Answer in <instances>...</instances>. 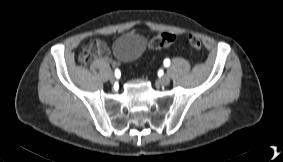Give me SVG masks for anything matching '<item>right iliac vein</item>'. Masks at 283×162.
Listing matches in <instances>:
<instances>
[{
  "label": "right iliac vein",
  "instance_id": "obj_1",
  "mask_svg": "<svg viewBox=\"0 0 283 162\" xmlns=\"http://www.w3.org/2000/svg\"><path fill=\"white\" fill-rule=\"evenodd\" d=\"M114 79H115V76H114V74H113V73H111V74H110V76H109V80H110L111 82H113V81H114Z\"/></svg>",
  "mask_w": 283,
  "mask_h": 162
}]
</instances>
